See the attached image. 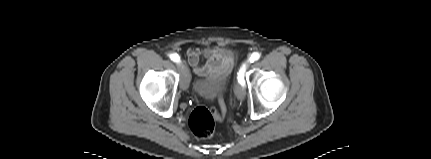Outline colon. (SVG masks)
I'll list each match as a JSON object with an SVG mask.
<instances>
[{"instance_id":"colon-1","label":"colon","mask_w":431,"mask_h":159,"mask_svg":"<svg viewBox=\"0 0 431 159\" xmlns=\"http://www.w3.org/2000/svg\"><path fill=\"white\" fill-rule=\"evenodd\" d=\"M221 112L212 107V109L200 106L196 107L190 114L188 125L191 132L199 139H207L213 135L215 121H224L226 118V106L224 97H220Z\"/></svg>"}]
</instances>
